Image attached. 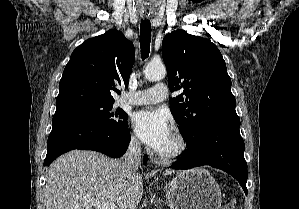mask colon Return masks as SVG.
Instances as JSON below:
<instances>
[{"mask_svg":"<svg viewBox=\"0 0 299 209\" xmlns=\"http://www.w3.org/2000/svg\"><path fill=\"white\" fill-rule=\"evenodd\" d=\"M225 209H233L231 205H228Z\"/></svg>","mask_w":299,"mask_h":209,"instance_id":"5ec220e1","label":"colon"}]
</instances>
